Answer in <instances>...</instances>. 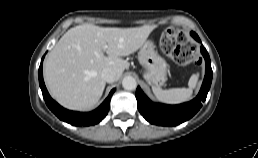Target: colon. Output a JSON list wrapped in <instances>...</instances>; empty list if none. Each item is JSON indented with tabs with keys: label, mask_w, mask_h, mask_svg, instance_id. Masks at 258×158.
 Returning a JSON list of instances; mask_svg holds the SVG:
<instances>
[{
	"label": "colon",
	"mask_w": 258,
	"mask_h": 158,
	"mask_svg": "<svg viewBox=\"0 0 258 158\" xmlns=\"http://www.w3.org/2000/svg\"><path fill=\"white\" fill-rule=\"evenodd\" d=\"M187 41L188 36L183 29L169 28L161 36L160 48L164 54L179 65L196 64L195 50L187 44Z\"/></svg>",
	"instance_id": "colon-1"
}]
</instances>
